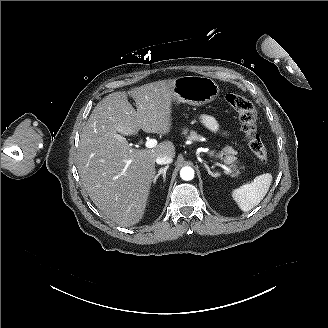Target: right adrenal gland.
I'll list each match as a JSON object with an SVG mask.
<instances>
[{"label":"right adrenal gland","mask_w":328,"mask_h":328,"mask_svg":"<svg viewBox=\"0 0 328 328\" xmlns=\"http://www.w3.org/2000/svg\"><path fill=\"white\" fill-rule=\"evenodd\" d=\"M169 168V165H167L165 168H160V170L158 171V174L155 176L154 178V183L156 182V180L158 179V177L162 174L163 175V179L165 181L166 179V170Z\"/></svg>","instance_id":"right-adrenal-gland-1"}]
</instances>
